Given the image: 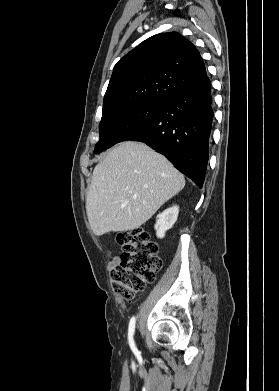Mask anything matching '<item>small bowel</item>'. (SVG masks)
I'll return each mask as SVG.
<instances>
[{"label":"small bowel","mask_w":279,"mask_h":391,"mask_svg":"<svg viewBox=\"0 0 279 391\" xmlns=\"http://www.w3.org/2000/svg\"><path fill=\"white\" fill-rule=\"evenodd\" d=\"M118 261H119V258L114 259V260L111 262L110 266L113 268L115 265H117Z\"/></svg>","instance_id":"c3829d8e"}]
</instances>
